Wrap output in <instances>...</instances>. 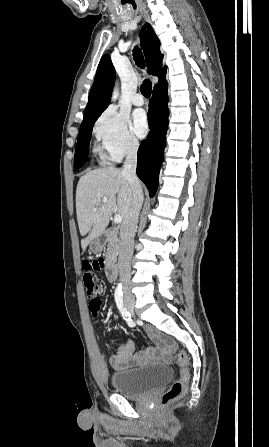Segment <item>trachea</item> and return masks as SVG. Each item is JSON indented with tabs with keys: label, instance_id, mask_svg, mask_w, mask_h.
I'll return each mask as SVG.
<instances>
[{
	"label": "trachea",
	"instance_id": "trachea-1",
	"mask_svg": "<svg viewBox=\"0 0 269 447\" xmlns=\"http://www.w3.org/2000/svg\"><path fill=\"white\" fill-rule=\"evenodd\" d=\"M133 57L138 67H144L143 55L141 53V50H139V48L134 49ZM151 88H152L151 82L149 80H145L141 85V93L145 97L149 98L151 95Z\"/></svg>",
	"mask_w": 269,
	"mask_h": 447
}]
</instances>
